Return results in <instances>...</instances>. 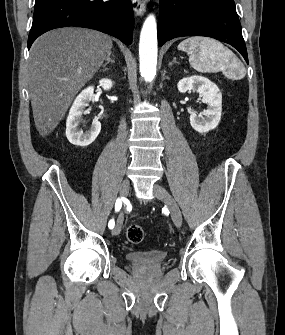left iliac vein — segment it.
<instances>
[{
    "label": "left iliac vein",
    "mask_w": 285,
    "mask_h": 335,
    "mask_svg": "<svg viewBox=\"0 0 285 335\" xmlns=\"http://www.w3.org/2000/svg\"><path fill=\"white\" fill-rule=\"evenodd\" d=\"M154 194L157 196V198L161 201H163L167 207L169 208L171 212V218L174 222V224L177 227H180L182 224V215L181 211L174 200V198L171 196V194L161 185L155 184L153 186Z\"/></svg>",
    "instance_id": "obj_1"
}]
</instances>
